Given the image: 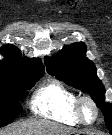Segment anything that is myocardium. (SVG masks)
I'll return each instance as SVG.
<instances>
[{
	"label": "myocardium",
	"instance_id": "obj_1",
	"mask_svg": "<svg viewBox=\"0 0 112 135\" xmlns=\"http://www.w3.org/2000/svg\"><path fill=\"white\" fill-rule=\"evenodd\" d=\"M86 104L90 105L94 110V118L92 120H87L84 116L83 108ZM75 114L78 120L80 121V123L85 124V125H91V124H94L98 120L100 111H99V107L97 103L92 97L88 95H82L76 98Z\"/></svg>",
	"mask_w": 112,
	"mask_h": 135
}]
</instances>
